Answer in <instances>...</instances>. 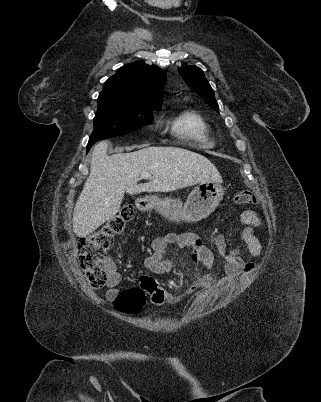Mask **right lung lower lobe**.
Masks as SVG:
<instances>
[{"mask_svg": "<svg viewBox=\"0 0 321 402\" xmlns=\"http://www.w3.org/2000/svg\"><path fill=\"white\" fill-rule=\"evenodd\" d=\"M93 144H89L88 143V145H87V152L89 151V149H90V147L92 146Z\"/></svg>", "mask_w": 321, "mask_h": 402, "instance_id": "right-lung-lower-lobe-1", "label": "right lung lower lobe"}]
</instances>
